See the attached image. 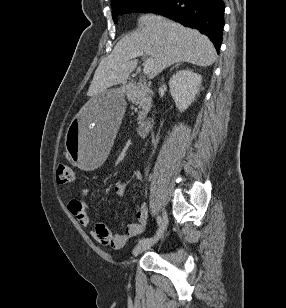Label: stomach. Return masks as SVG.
I'll return each mask as SVG.
<instances>
[{"label": "stomach", "mask_w": 286, "mask_h": 308, "mask_svg": "<svg viewBox=\"0 0 286 308\" xmlns=\"http://www.w3.org/2000/svg\"><path fill=\"white\" fill-rule=\"evenodd\" d=\"M126 91V85H107L95 97H87L84 109L66 123L67 155L79 171H96L108 161L115 133L121 129Z\"/></svg>", "instance_id": "obj_1"}]
</instances>
